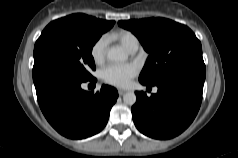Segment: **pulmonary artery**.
<instances>
[{"mask_svg":"<svg viewBox=\"0 0 238 158\" xmlns=\"http://www.w3.org/2000/svg\"><path fill=\"white\" fill-rule=\"evenodd\" d=\"M138 50V45H135V46H133L130 50H129V52L130 53H134V52H136Z\"/></svg>","mask_w":238,"mask_h":158,"instance_id":"e3ab8cb5","label":"pulmonary artery"}]
</instances>
